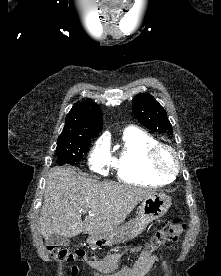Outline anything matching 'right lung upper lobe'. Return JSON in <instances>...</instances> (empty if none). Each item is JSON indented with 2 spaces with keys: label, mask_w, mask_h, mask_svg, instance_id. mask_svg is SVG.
Returning <instances> with one entry per match:
<instances>
[{
  "label": "right lung upper lobe",
  "mask_w": 221,
  "mask_h": 276,
  "mask_svg": "<svg viewBox=\"0 0 221 276\" xmlns=\"http://www.w3.org/2000/svg\"><path fill=\"white\" fill-rule=\"evenodd\" d=\"M102 119L101 109L92 99L78 101L66 116L64 130L58 141L92 139L101 131Z\"/></svg>",
  "instance_id": "1"
}]
</instances>
